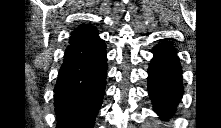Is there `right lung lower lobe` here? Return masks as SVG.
<instances>
[{
	"label": "right lung lower lobe",
	"mask_w": 221,
	"mask_h": 128,
	"mask_svg": "<svg viewBox=\"0 0 221 128\" xmlns=\"http://www.w3.org/2000/svg\"><path fill=\"white\" fill-rule=\"evenodd\" d=\"M106 71L102 39L68 45L54 88L57 128H93L105 94Z\"/></svg>",
	"instance_id": "obj_1"
}]
</instances>
